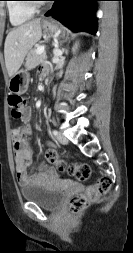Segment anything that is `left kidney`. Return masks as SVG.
<instances>
[{
	"instance_id": "5707ae66",
	"label": "left kidney",
	"mask_w": 133,
	"mask_h": 253,
	"mask_svg": "<svg viewBox=\"0 0 133 253\" xmlns=\"http://www.w3.org/2000/svg\"><path fill=\"white\" fill-rule=\"evenodd\" d=\"M77 49V44L73 47V52H75Z\"/></svg>"
}]
</instances>
